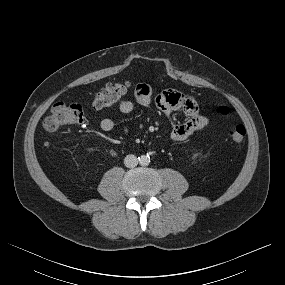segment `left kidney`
Wrapping results in <instances>:
<instances>
[{
    "label": "left kidney",
    "mask_w": 285,
    "mask_h": 285,
    "mask_svg": "<svg viewBox=\"0 0 285 285\" xmlns=\"http://www.w3.org/2000/svg\"><path fill=\"white\" fill-rule=\"evenodd\" d=\"M197 156H198V154H197V153L193 154V157H197Z\"/></svg>",
    "instance_id": "1"
}]
</instances>
